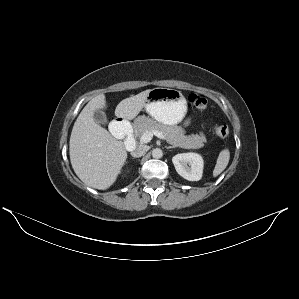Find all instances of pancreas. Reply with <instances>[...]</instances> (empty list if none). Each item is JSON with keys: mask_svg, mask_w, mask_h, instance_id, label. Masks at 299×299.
I'll list each match as a JSON object with an SVG mask.
<instances>
[{"mask_svg": "<svg viewBox=\"0 0 299 299\" xmlns=\"http://www.w3.org/2000/svg\"><path fill=\"white\" fill-rule=\"evenodd\" d=\"M159 131L174 147L184 149H199L204 146L207 139L204 134L186 136L184 131L176 125L167 126L148 117H140L134 124L136 136H141L146 131Z\"/></svg>", "mask_w": 299, "mask_h": 299, "instance_id": "obj_1", "label": "pancreas"}]
</instances>
